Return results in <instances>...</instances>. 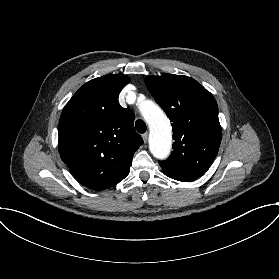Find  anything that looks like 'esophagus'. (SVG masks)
I'll use <instances>...</instances> for the list:
<instances>
[{"label":"esophagus","instance_id":"34e87169","mask_svg":"<svg viewBox=\"0 0 279 279\" xmlns=\"http://www.w3.org/2000/svg\"><path fill=\"white\" fill-rule=\"evenodd\" d=\"M142 138L144 140V143H147V141H148V133L146 132V133L142 134Z\"/></svg>","mask_w":279,"mask_h":279}]
</instances>
